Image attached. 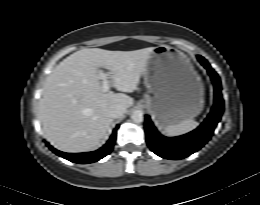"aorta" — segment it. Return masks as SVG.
Masks as SVG:
<instances>
[{"label": "aorta", "instance_id": "aorta-1", "mask_svg": "<svg viewBox=\"0 0 260 205\" xmlns=\"http://www.w3.org/2000/svg\"><path fill=\"white\" fill-rule=\"evenodd\" d=\"M131 119L135 123H141L143 121V112L141 110H135L131 114Z\"/></svg>", "mask_w": 260, "mask_h": 205}]
</instances>
